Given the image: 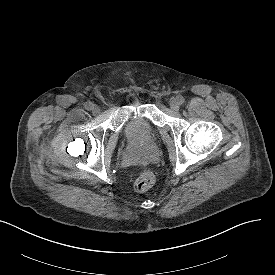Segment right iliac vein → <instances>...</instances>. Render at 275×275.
I'll return each instance as SVG.
<instances>
[{
  "label": "right iliac vein",
  "instance_id": "obj_1",
  "mask_svg": "<svg viewBox=\"0 0 275 275\" xmlns=\"http://www.w3.org/2000/svg\"><path fill=\"white\" fill-rule=\"evenodd\" d=\"M91 110H92L93 114H98L100 112V108L96 104H92V109Z\"/></svg>",
  "mask_w": 275,
  "mask_h": 275
}]
</instances>
